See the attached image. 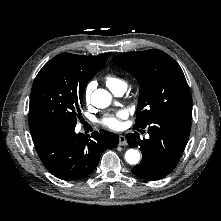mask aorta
Instances as JSON below:
<instances>
[{"instance_id":"1","label":"aorta","mask_w":221,"mask_h":221,"mask_svg":"<svg viewBox=\"0 0 221 221\" xmlns=\"http://www.w3.org/2000/svg\"><path fill=\"white\" fill-rule=\"evenodd\" d=\"M112 96L105 89H97L91 95V102L97 108H106L111 104ZM125 160L130 165H135L140 160V153L135 149H129L125 153Z\"/></svg>"}]
</instances>
